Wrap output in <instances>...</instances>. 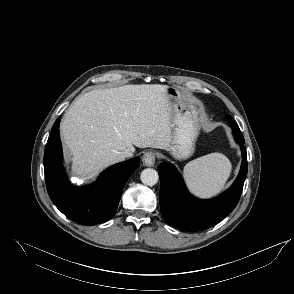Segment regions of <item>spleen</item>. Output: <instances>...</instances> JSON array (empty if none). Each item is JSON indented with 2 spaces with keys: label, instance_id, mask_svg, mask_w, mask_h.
<instances>
[{
  "label": "spleen",
  "instance_id": "obj_1",
  "mask_svg": "<svg viewBox=\"0 0 294 294\" xmlns=\"http://www.w3.org/2000/svg\"><path fill=\"white\" fill-rule=\"evenodd\" d=\"M231 167L225 155L215 152L187 163L183 175L193 194L201 198H209L224 188Z\"/></svg>",
  "mask_w": 294,
  "mask_h": 294
}]
</instances>
